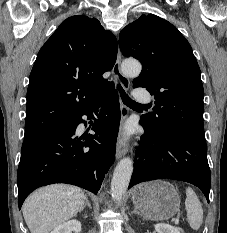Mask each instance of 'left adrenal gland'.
<instances>
[{"label": "left adrenal gland", "instance_id": "obj_1", "mask_svg": "<svg viewBox=\"0 0 227 233\" xmlns=\"http://www.w3.org/2000/svg\"><path fill=\"white\" fill-rule=\"evenodd\" d=\"M132 213L139 214V212L136 209Z\"/></svg>", "mask_w": 227, "mask_h": 233}]
</instances>
